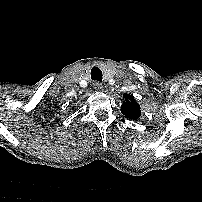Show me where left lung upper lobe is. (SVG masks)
Masks as SVG:
<instances>
[{
  "label": "left lung upper lobe",
  "instance_id": "left-lung-upper-lobe-1",
  "mask_svg": "<svg viewBox=\"0 0 202 202\" xmlns=\"http://www.w3.org/2000/svg\"><path fill=\"white\" fill-rule=\"evenodd\" d=\"M125 102L121 106V112L129 119H138L141 116L140 105L135 101L134 96L124 93Z\"/></svg>",
  "mask_w": 202,
  "mask_h": 202
}]
</instances>
